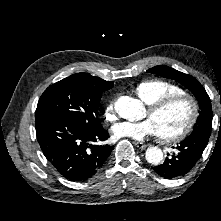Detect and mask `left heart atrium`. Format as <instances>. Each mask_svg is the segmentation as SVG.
Returning a JSON list of instances; mask_svg holds the SVG:
<instances>
[{
    "label": "left heart atrium",
    "mask_w": 221,
    "mask_h": 221,
    "mask_svg": "<svg viewBox=\"0 0 221 221\" xmlns=\"http://www.w3.org/2000/svg\"><path fill=\"white\" fill-rule=\"evenodd\" d=\"M112 132L118 138L126 137L134 140H143L147 136L158 133L155 124L149 118L140 122L122 121L116 123Z\"/></svg>",
    "instance_id": "left-heart-atrium-1"
}]
</instances>
